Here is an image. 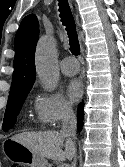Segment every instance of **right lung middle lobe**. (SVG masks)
<instances>
[{
  "label": "right lung middle lobe",
  "instance_id": "obj_1",
  "mask_svg": "<svg viewBox=\"0 0 125 167\" xmlns=\"http://www.w3.org/2000/svg\"><path fill=\"white\" fill-rule=\"evenodd\" d=\"M29 91L30 90H26L9 96L2 125L4 131H8L13 128L17 115L19 114Z\"/></svg>",
  "mask_w": 125,
  "mask_h": 167
}]
</instances>
